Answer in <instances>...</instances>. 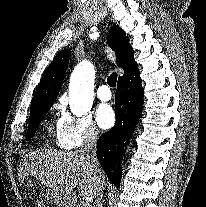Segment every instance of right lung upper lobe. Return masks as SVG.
Here are the masks:
<instances>
[{"label": "right lung upper lobe", "mask_w": 206, "mask_h": 207, "mask_svg": "<svg viewBox=\"0 0 206 207\" xmlns=\"http://www.w3.org/2000/svg\"><path fill=\"white\" fill-rule=\"evenodd\" d=\"M108 43L115 52L117 65L124 70L123 75L137 65L133 59L134 53L129 44V38L120 27L113 26L111 28L108 34ZM69 58V49L56 55L38 85L30 111L45 104H53L61 88Z\"/></svg>", "instance_id": "cb5924a9"}]
</instances>
